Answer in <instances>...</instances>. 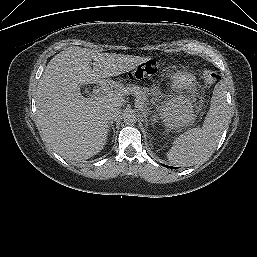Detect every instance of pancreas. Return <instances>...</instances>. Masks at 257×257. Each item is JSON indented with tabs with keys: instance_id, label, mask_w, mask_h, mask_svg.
<instances>
[{
	"instance_id": "cf45deb5",
	"label": "pancreas",
	"mask_w": 257,
	"mask_h": 257,
	"mask_svg": "<svg viewBox=\"0 0 257 257\" xmlns=\"http://www.w3.org/2000/svg\"><path fill=\"white\" fill-rule=\"evenodd\" d=\"M127 89L130 90L136 97L137 107L145 111L148 105L149 89L141 88L135 85L129 86Z\"/></svg>"
}]
</instances>
